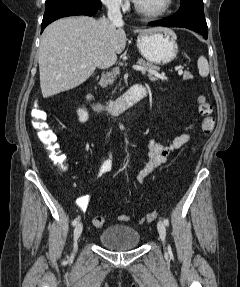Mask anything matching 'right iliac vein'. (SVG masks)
I'll use <instances>...</instances> for the list:
<instances>
[{"mask_svg": "<svg viewBox=\"0 0 240 287\" xmlns=\"http://www.w3.org/2000/svg\"><path fill=\"white\" fill-rule=\"evenodd\" d=\"M82 230H83V225L81 222H79L75 229H74V234H73V246H74V251H76L77 249V240L78 238L80 237L81 233H82Z\"/></svg>", "mask_w": 240, "mask_h": 287, "instance_id": "1", "label": "right iliac vein"}]
</instances>
